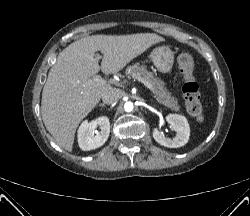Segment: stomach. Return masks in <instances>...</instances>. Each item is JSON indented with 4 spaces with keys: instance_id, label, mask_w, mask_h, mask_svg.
I'll use <instances>...</instances> for the list:
<instances>
[{
    "instance_id": "1",
    "label": "stomach",
    "mask_w": 250,
    "mask_h": 216,
    "mask_svg": "<svg viewBox=\"0 0 250 216\" xmlns=\"http://www.w3.org/2000/svg\"><path fill=\"white\" fill-rule=\"evenodd\" d=\"M154 66L162 73H170L174 64V53L165 46L155 48L150 55Z\"/></svg>"
}]
</instances>
